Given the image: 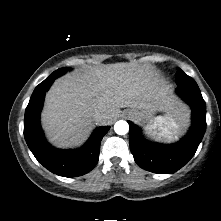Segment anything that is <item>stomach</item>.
Returning <instances> with one entry per match:
<instances>
[{"label":"stomach","mask_w":221,"mask_h":221,"mask_svg":"<svg viewBox=\"0 0 221 221\" xmlns=\"http://www.w3.org/2000/svg\"><path fill=\"white\" fill-rule=\"evenodd\" d=\"M154 110L130 108L124 111V114L131 118L134 122L145 126V129L160 140H166L161 135L160 124L157 122V117H154ZM156 127L154 128V126ZM161 125H164L163 123Z\"/></svg>","instance_id":"obj_1"}]
</instances>
